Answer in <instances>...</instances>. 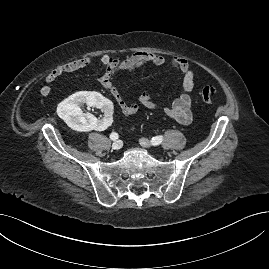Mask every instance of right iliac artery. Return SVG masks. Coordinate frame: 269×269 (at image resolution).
Instances as JSON below:
<instances>
[{
  "instance_id": "82829eb1",
  "label": "right iliac artery",
  "mask_w": 269,
  "mask_h": 269,
  "mask_svg": "<svg viewBox=\"0 0 269 269\" xmlns=\"http://www.w3.org/2000/svg\"><path fill=\"white\" fill-rule=\"evenodd\" d=\"M119 138V135L116 133V132H112L111 134H110V139L111 140H116V139H118Z\"/></svg>"
}]
</instances>
